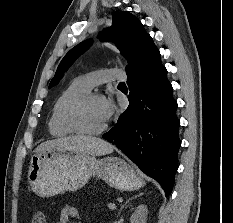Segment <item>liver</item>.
<instances>
[{"mask_svg": "<svg viewBox=\"0 0 233 223\" xmlns=\"http://www.w3.org/2000/svg\"><path fill=\"white\" fill-rule=\"evenodd\" d=\"M64 147L68 151H78V153H85V155H107L112 153L115 145L108 143L101 137H93V135H69V137H57V139H48L44 143H40L35 151H39L42 147Z\"/></svg>", "mask_w": 233, "mask_h": 223, "instance_id": "6515ba94", "label": "liver"}]
</instances>
